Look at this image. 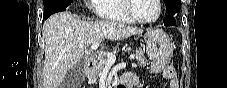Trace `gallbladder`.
Listing matches in <instances>:
<instances>
[{
	"mask_svg": "<svg viewBox=\"0 0 227 88\" xmlns=\"http://www.w3.org/2000/svg\"><path fill=\"white\" fill-rule=\"evenodd\" d=\"M85 59H81L77 62L66 74L61 87L62 88H74L81 84L84 79Z\"/></svg>",
	"mask_w": 227,
	"mask_h": 88,
	"instance_id": "1",
	"label": "gallbladder"
}]
</instances>
